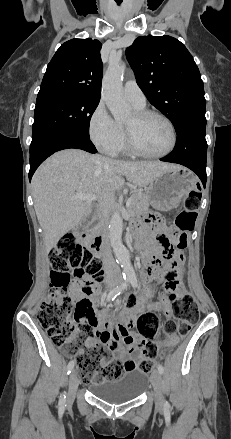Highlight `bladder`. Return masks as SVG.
<instances>
[{
	"label": "bladder",
	"instance_id": "bladder-1",
	"mask_svg": "<svg viewBox=\"0 0 231 439\" xmlns=\"http://www.w3.org/2000/svg\"><path fill=\"white\" fill-rule=\"evenodd\" d=\"M150 380V375L142 369H127L121 379L92 385L89 391L108 403H123L140 397L147 389Z\"/></svg>",
	"mask_w": 231,
	"mask_h": 439
}]
</instances>
